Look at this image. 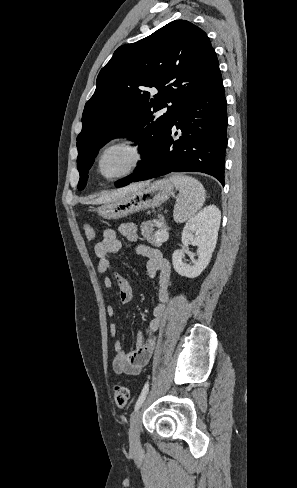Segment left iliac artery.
Masks as SVG:
<instances>
[{
    "label": "left iliac artery",
    "instance_id": "left-iliac-artery-1",
    "mask_svg": "<svg viewBox=\"0 0 297 488\" xmlns=\"http://www.w3.org/2000/svg\"><path fill=\"white\" fill-rule=\"evenodd\" d=\"M148 390H149V383L146 382L142 391H141V394H140V396H139V398L135 404V411L138 410L141 407V405L143 404V402L145 401V398L148 394Z\"/></svg>",
    "mask_w": 297,
    "mask_h": 488
}]
</instances>
